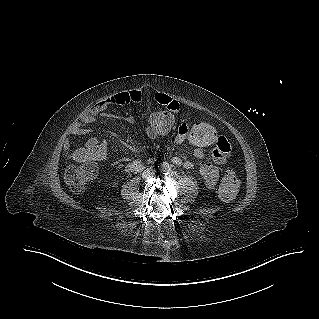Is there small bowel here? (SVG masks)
<instances>
[{
  "mask_svg": "<svg viewBox=\"0 0 319 319\" xmlns=\"http://www.w3.org/2000/svg\"><path fill=\"white\" fill-rule=\"evenodd\" d=\"M153 101L155 102L156 108H165L166 113H177L178 108L182 107L181 99H172L166 94L154 93ZM143 100V93L139 90H131L120 92L114 94L96 105L92 106L86 110L80 117V119L75 122L71 128L70 133L75 136H84L90 132V125L96 120L101 114L128 104H137ZM156 112V111H155ZM129 122L132 121L131 118L127 119ZM177 134L175 136V142L181 144L186 140L185 135H189L191 129L187 126L186 121L176 122ZM217 149L212 151L210 154V160L206 161L200 167V175L204 180L205 186L209 189H213L219 182L220 170L219 167L225 163L227 157L231 155V150L227 141L218 136L214 140ZM71 140L67 139L65 142V153L71 156L70 153ZM195 148V147H194ZM85 150L95 154L98 160L104 161L110 155V147L107 143L100 141L97 138H90L85 144ZM194 156L199 160H206L207 156L205 151H200L195 148ZM72 157V156H71ZM157 161L156 158L151 157L148 162L153 164ZM172 162L176 165L182 166L185 169H192L194 164L192 161L182 159L180 157H173ZM143 169V163L139 160H134L127 164V172H137Z\"/></svg>",
  "mask_w": 319,
  "mask_h": 319,
  "instance_id": "1",
  "label": "small bowel"
}]
</instances>
